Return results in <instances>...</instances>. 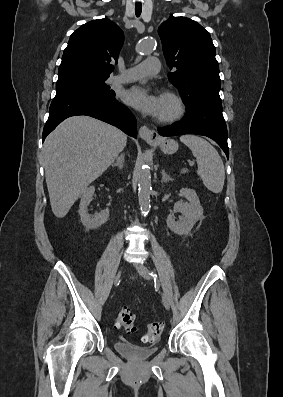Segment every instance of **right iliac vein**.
<instances>
[{
  "label": "right iliac vein",
  "instance_id": "right-iliac-vein-1",
  "mask_svg": "<svg viewBox=\"0 0 283 397\" xmlns=\"http://www.w3.org/2000/svg\"><path fill=\"white\" fill-rule=\"evenodd\" d=\"M121 277V270L118 271V273L116 274L115 278H114V282H117Z\"/></svg>",
  "mask_w": 283,
  "mask_h": 397
}]
</instances>
